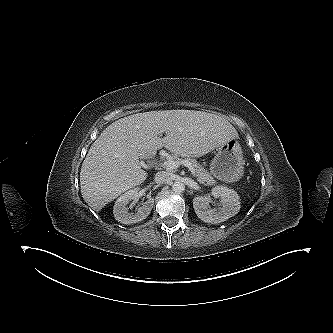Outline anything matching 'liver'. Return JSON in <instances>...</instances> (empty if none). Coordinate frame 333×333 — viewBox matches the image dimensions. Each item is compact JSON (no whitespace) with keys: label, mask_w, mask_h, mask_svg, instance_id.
<instances>
[{"label":"liver","mask_w":333,"mask_h":333,"mask_svg":"<svg viewBox=\"0 0 333 333\" xmlns=\"http://www.w3.org/2000/svg\"><path fill=\"white\" fill-rule=\"evenodd\" d=\"M161 133L166 136L160 138ZM235 138L238 133L230 123L201 111H151L121 118L91 145L80 172L82 196L98 212L146 180L140 160L152 158L162 147L182 157H201Z\"/></svg>","instance_id":"1"}]
</instances>
